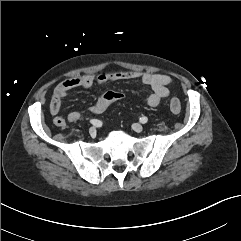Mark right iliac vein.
<instances>
[{"label":"right iliac vein","instance_id":"right-iliac-vein-1","mask_svg":"<svg viewBox=\"0 0 241 241\" xmlns=\"http://www.w3.org/2000/svg\"><path fill=\"white\" fill-rule=\"evenodd\" d=\"M89 133H90L91 136H94V135L96 134V129H95V127H91V128L89 129Z\"/></svg>","mask_w":241,"mask_h":241}]
</instances>
